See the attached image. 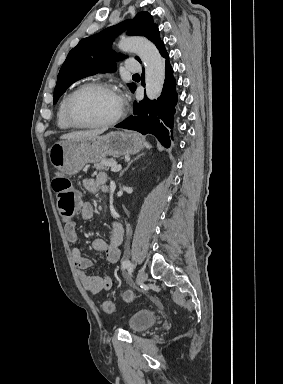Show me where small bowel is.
I'll return each instance as SVG.
<instances>
[{
  "instance_id": "small-bowel-1",
  "label": "small bowel",
  "mask_w": 283,
  "mask_h": 384,
  "mask_svg": "<svg viewBox=\"0 0 283 384\" xmlns=\"http://www.w3.org/2000/svg\"><path fill=\"white\" fill-rule=\"evenodd\" d=\"M107 176L104 173L97 174L83 181L84 188L90 193H96L106 189ZM81 217L84 220L92 219L94 209L91 203L85 202L80 208ZM64 233L67 240L75 244L79 241L75 222H67L64 226ZM124 229L123 226L116 221L111 223V235L109 242L102 238H94L91 241L92 248L97 252H103L106 260L113 264L120 258V245L123 241ZM72 259L75 267L78 270V276L85 290L92 294H97L104 290H109L112 287L113 281L111 276L97 277L89 275L86 271L92 267L93 262L90 258L84 256L78 248H73Z\"/></svg>"
}]
</instances>
